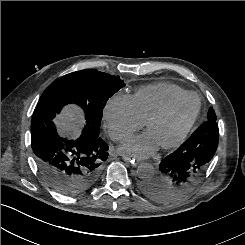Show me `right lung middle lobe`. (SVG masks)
I'll use <instances>...</instances> for the list:
<instances>
[{"instance_id": "dd1d6c3e", "label": "right lung middle lobe", "mask_w": 245, "mask_h": 245, "mask_svg": "<svg viewBox=\"0 0 245 245\" xmlns=\"http://www.w3.org/2000/svg\"><path fill=\"white\" fill-rule=\"evenodd\" d=\"M125 86L119 76L95 69H85L62 76L43 92L37 106H47L55 114L67 104L79 105L85 113L82 132L95 136L99 129L107 100Z\"/></svg>"}]
</instances>
